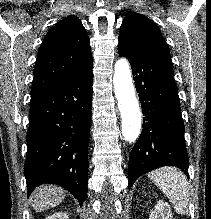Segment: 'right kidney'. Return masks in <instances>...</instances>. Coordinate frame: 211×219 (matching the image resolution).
<instances>
[{
  "mask_svg": "<svg viewBox=\"0 0 211 219\" xmlns=\"http://www.w3.org/2000/svg\"><path fill=\"white\" fill-rule=\"evenodd\" d=\"M45 219H68V215L65 212H57Z\"/></svg>",
  "mask_w": 211,
  "mask_h": 219,
  "instance_id": "right-kidney-1",
  "label": "right kidney"
}]
</instances>
